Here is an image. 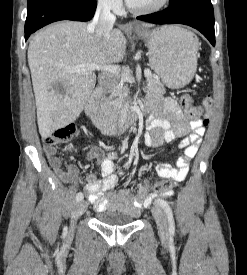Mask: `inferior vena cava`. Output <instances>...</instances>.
Here are the masks:
<instances>
[{"instance_id":"inferior-vena-cava-1","label":"inferior vena cava","mask_w":247,"mask_h":275,"mask_svg":"<svg viewBox=\"0 0 247 275\" xmlns=\"http://www.w3.org/2000/svg\"><path fill=\"white\" fill-rule=\"evenodd\" d=\"M116 17L111 13V4L108 0H99L93 21L88 25V30L93 31L95 36L108 42ZM100 83L105 88L112 87V77L108 74L100 76Z\"/></svg>"}]
</instances>
